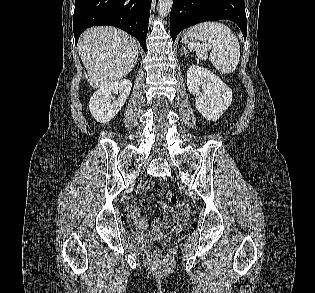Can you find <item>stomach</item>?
Wrapping results in <instances>:
<instances>
[{
    "label": "stomach",
    "instance_id": "0dacf381",
    "mask_svg": "<svg viewBox=\"0 0 315 293\" xmlns=\"http://www.w3.org/2000/svg\"><path fill=\"white\" fill-rule=\"evenodd\" d=\"M182 42L192 48L193 41L190 38H188L186 35H184Z\"/></svg>",
    "mask_w": 315,
    "mask_h": 293
}]
</instances>
